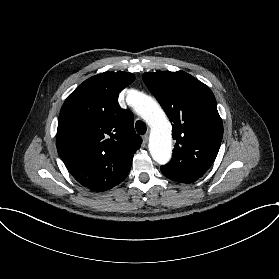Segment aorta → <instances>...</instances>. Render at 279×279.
<instances>
[{
	"instance_id": "obj_1",
	"label": "aorta",
	"mask_w": 279,
	"mask_h": 279,
	"mask_svg": "<svg viewBox=\"0 0 279 279\" xmlns=\"http://www.w3.org/2000/svg\"><path fill=\"white\" fill-rule=\"evenodd\" d=\"M135 111L151 127L149 151L160 165L166 164L172 155L171 124L160 105L150 96L135 92L131 101Z\"/></svg>"
}]
</instances>
